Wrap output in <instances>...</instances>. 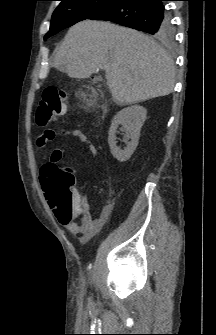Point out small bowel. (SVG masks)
Here are the masks:
<instances>
[{
	"label": "small bowel",
	"mask_w": 216,
	"mask_h": 335,
	"mask_svg": "<svg viewBox=\"0 0 216 335\" xmlns=\"http://www.w3.org/2000/svg\"><path fill=\"white\" fill-rule=\"evenodd\" d=\"M71 135L77 138L81 143L85 144L89 149L92 155L96 154V148L93 143L89 140V138L80 130L73 129L71 131L63 130L59 133V135ZM57 134L54 131H48L43 136H39L36 140V143L39 147L45 146L48 142L54 140ZM62 158L61 151H54L47 163H45L40 171V184L41 188L44 191L47 199L50 202L51 207L54 210L55 216L59 223L69 232L73 234H78L81 237L83 242H87L94 234H96L105 224V218L99 216L97 218H93L90 212V207L87 201V197L85 194L81 193L78 190H75L73 193V197L75 200V207L73 212L67 218L63 219V209L56 205L53 199L50 197L49 192L51 188L48 186L49 181L52 178V169L58 166L59 161ZM47 164H51L50 169L45 171L44 167ZM80 218L81 222H78L77 219Z\"/></svg>",
	"instance_id": "c3829d8e"
}]
</instances>
